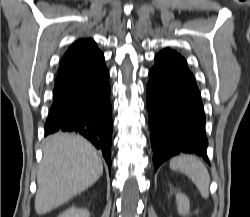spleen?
I'll return each mask as SVG.
<instances>
[{"instance_id":"spleen-1","label":"spleen","mask_w":250,"mask_h":217,"mask_svg":"<svg viewBox=\"0 0 250 217\" xmlns=\"http://www.w3.org/2000/svg\"><path fill=\"white\" fill-rule=\"evenodd\" d=\"M170 168L187 175L203 198L209 197L210 175L205 165L195 156L181 155L170 161Z\"/></svg>"}]
</instances>
